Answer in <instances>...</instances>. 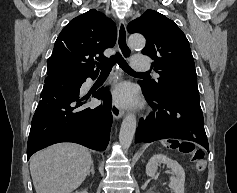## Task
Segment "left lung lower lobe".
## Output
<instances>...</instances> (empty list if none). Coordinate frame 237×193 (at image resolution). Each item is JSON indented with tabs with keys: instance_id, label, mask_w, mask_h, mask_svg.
I'll return each instance as SVG.
<instances>
[{
	"instance_id": "left-lung-lower-lobe-1",
	"label": "left lung lower lobe",
	"mask_w": 237,
	"mask_h": 193,
	"mask_svg": "<svg viewBox=\"0 0 237 193\" xmlns=\"http://www.w3.org/2000/svg\"><path fill=\"white\" fill-rule=\"evenodd\" d=\"M140 85L156 113L145 121H139L135 143L176 138L196 142L209 151L199 95L177 93L156 96Z\"/></svg>"
}]
</instances>
